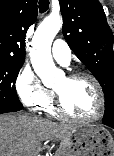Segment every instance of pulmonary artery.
Returning a JSON list of instances; mask_svg holds the SVG:
<instances>
[{
  "mask_svg": "<svg viewBox=\"0 0 114 156\" xmlns=\"http://www.w3.org/2000/svg\"><path fill=\"white\" fill-rule=\"evenodd\" d=\"M52 56L58 63L66 66L71 59V50L65 41L57 39L52 46Z\"/></svg>",
  "mask_w": 114,
  "mask_h": 156,
  "instance_id": "obj_1",
  "label": "pulmonary artery"
}]
</instances>
